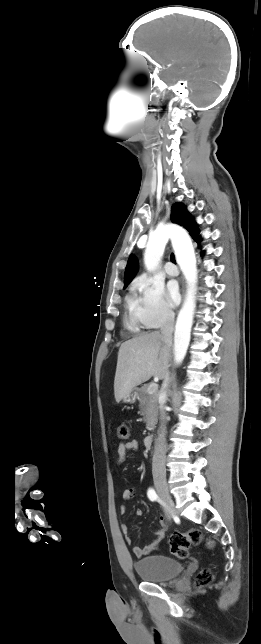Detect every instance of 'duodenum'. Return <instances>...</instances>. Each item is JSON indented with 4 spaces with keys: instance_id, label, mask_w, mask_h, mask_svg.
Listing matches in <instances>:
<instances>
[{
    "instance_id": "duodenum-1",
    "label": "duodenum",
    "mask_w": 261,
    "mask_h": 644,
    "mask_svg": "<svg viewBox=\"0 0 261 644\" xmlns=\"http://www.w3.org/2000/svg\"><path fill=\"white\" fill-rule=\"evenodd\" d=\"M152 442H153V436L152 435H147L144 438V446L146 448H150L152 446Z\"/></svg>"
}]
</instances>
